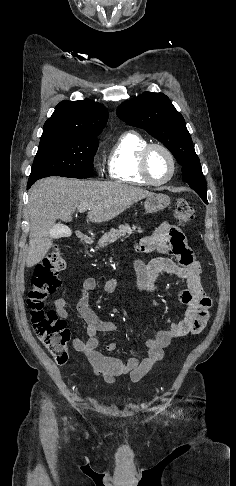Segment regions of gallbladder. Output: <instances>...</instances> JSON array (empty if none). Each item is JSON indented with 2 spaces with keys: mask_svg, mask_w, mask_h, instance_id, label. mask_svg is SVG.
<instances>
[{
  "mask_svg": "<svg viewBox=\"0 0 236 486\" xmlns=\"http://www.w3.org/2000/svg\"><path fill=\"white\" fill-rule=\"evenodd\" d=\"M63 230H65V226L61 225V224H55L53 226V232H54V237L55 238H59L63 235Z\"/></svg>",
  "mask_w": 236,
  "mask_h": 486,
  "instance_id": "bac80fb5",
  "label": "gallbladder"
}]
</instances>
